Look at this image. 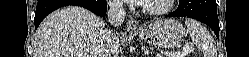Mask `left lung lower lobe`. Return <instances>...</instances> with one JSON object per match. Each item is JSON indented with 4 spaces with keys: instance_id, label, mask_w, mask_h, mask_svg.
Returning a JSON list of instances; mask_svg holds the SVG:
<instances>
[{
    "instance_id": "left-lung-lower-lobe-1",
    "label": "left lung lower lobe",
    "mask_w": 249,
    "mask_h": 57,
    "mask_svg": "<svg viewBox=\"0 0 249 57\" xmlns=\"http://www.w3.org/2000/svg\"><path fill=\"white\" fill-rule=\"evenodd\" d=\"M166 17H190L207 24L219 38L216 0H179L178 8Z\"/></svg>"
}]
</instances>
